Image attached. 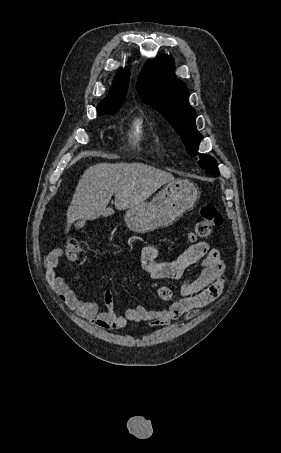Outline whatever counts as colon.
I'll use <instances>...</instances> for the list:
<instances>
[{
    "label": "colon",
    "instance_id": "1",
    "mask_svg": "<svg viewBox=\"0 0 281 453\" xmlns=\"http://www.w3.org/2000/svg\"><path fill=\"white\" fill-rule=\"evenodd\" d=\"M222 224V216L216 206L211 202L201 204L200 217L195 228V237L198 240L208 237L212 231ZM64 253L68 260L73 262H84L86 253L76 238H67L64 244Z\"/></svg>",
    "mask_w": 281,
    "mask_h": 453
}]
</instances>
